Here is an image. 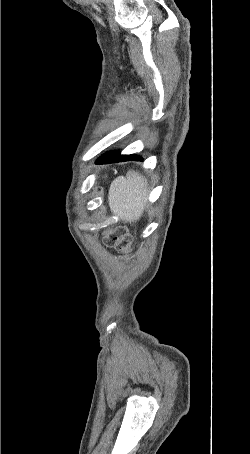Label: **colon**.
<instances>
[{"label":"colon","mask_w":250,"mask_h":454,"mask_svg":"<svg viewBox=\"0 0 250 454\" xmlns=\"http://www.w3.org/2000/svg\"><path fill=\"white\" fill-rule=\"evenodd\" d=\"M103 238L106 246L114 248L122 255H127L133 251V238L125 227L117 226L107 229Z\"/></svg>","instance_id":"obj_1"}]
</instances>
